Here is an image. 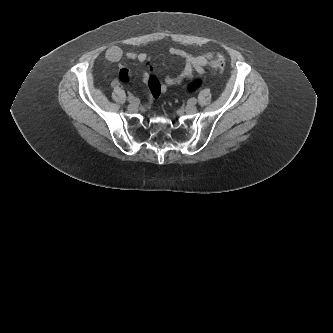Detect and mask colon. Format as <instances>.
<instances>
[{"label":"colon","instance_id":"1","mask_svg":"<svg viewBox=\"0 0 333 333\" xmlns=\"http://www.w3.org/2000/svg\"><path fill=\"white\" fill-rule=\"evenodd\" d=\"M211 67L213 69H215L218 72H222L225 68V61L223 58L218 57L215 58L214 60H212L211 62ZM202 84V80L197 79L193 82H191L190 84H188L187 86V91L188 92H194L195 90H197Z\"/></svg>","mask_w":333,"mask_h":333}]
</instances>
